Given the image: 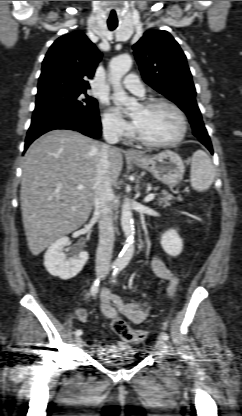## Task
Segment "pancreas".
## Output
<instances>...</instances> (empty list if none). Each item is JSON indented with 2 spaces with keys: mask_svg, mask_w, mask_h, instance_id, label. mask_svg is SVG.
Returning a JSON list of instances; mask_svg holds the SVG:
<instances>
[{
  "mask_svg": "<svg viewBox=\"0 0 242 416\" xmlns=\"http://www.w3.org/2000/svg\"><path fill=\"white\" fill-rule=\"evenodd\" d=\"M163 197L158 198V205L159 206H163V207H168L173 203V200H175V198L173 197V195L167 193V192H163ZM178 201H182V198L179 196L176 198Z\"/></svg>",
  "mask_w": 242,
  "mask_h": 416,
  "instance_id": "pancreas-1",
  "label": "pancreas"
}]
</instances>
